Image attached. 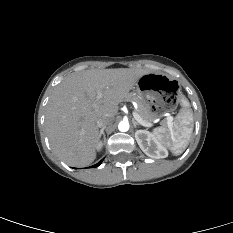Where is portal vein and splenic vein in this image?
<instances>
[{
    "label": "portal vein and splenic vein",
    "instance_id": "18ae733b",
    "mask_svg": "<svg viewBox=\"0 0 233 233\" xmlns=\"http://www.w3.org/2000/svg\"><path fill=\"white\" fill-rule=\"evenodd\" d=\"M100 98H101V91L99 90V91H98V94H97V100H99ZM132 114H133V117L135 118V120H136L139 124H141L142 126H144V127H151V126H152V123L144 121V120L138 115L137 112L133 111ZM166 120H167L168 126L171 127V126H172L173 118H172L171 116H168V117L166 118Z\"/></svg>",
    "mask_w": 233,
    "mask_h": 233
}]
</instances>
